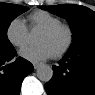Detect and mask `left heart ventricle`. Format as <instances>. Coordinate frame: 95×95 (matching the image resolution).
Instances as JSON below:
<instances>
[{
    "mask_svg": "<svg viewBox=\"0 0 95 95\" xmlns=\"http://www.w3.org/2000/svg\"><path fill=\"white\" fill-rule=\"evenodd\" d=\"M67 41V33L64 30L57 32L54 35H47L41 32L37 38L38 44H46L54 54L61 50Z\"/></svg>",
    "mask_w": 95,
    "mask_h": 95,
    "instance_id": "left-heart-ventricle-1",
    "label": "left heart ventricle"
}]
</instances>
